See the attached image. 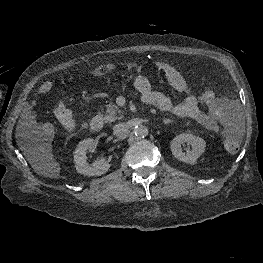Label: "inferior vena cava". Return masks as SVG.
<instances>
[{
	"instance_id": "inferior-vena-cava-1",
	"label": "inferior vena cava",
	"mask_w": 263,
	"mask_h": 263,
	"mask_svg": "<svg viewBox=\"0 0 263 263\" xmlns=\"http://www.w3.org/2000/svg\"><path fill=\"white\" fill-rule=\"evenodd\" d=\"M128 133V125L126 123H118L113 127V134L117 137H123Z\"/></svg>"
}]
</instances>
